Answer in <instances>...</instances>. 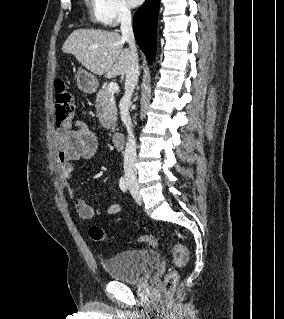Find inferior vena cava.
Returning a JSON list of instances; mask_svg holds the SVG:
<instances>
[{
    "instance_id": "602c4592",
    "label": "inferior vena cava",
    "mask_w": 284,
    "mask_h": 319,
    "mask_svg": "<svg viewBox=\"0 0 284 319\" xmlns=\"http://www.w3.org/2000/svg\"><path fill=\"white\" fill-rule=\"evenodd\" d=\"M121 21V33L122 39L129 44L130 54L132 55V64L129 71L126 73L125 79V93L120 100V116L123 124L125 125L128 133L125 153H124V170L135 172V160H136V142L133 135V125L129 115V108L131 106V97L138 83V77L140 75L138 65V54L135 44V37L132 28L131 12L128 9H122L120 13Z\"/></svg>"
}]
</instances>
